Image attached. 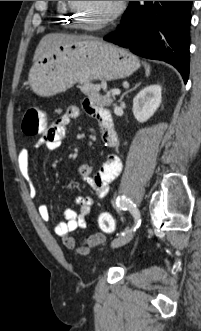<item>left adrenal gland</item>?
<instances>
[{"label":"left adrenal gland","instance_id":"obj_1","mask_svg":"<svg viewBox=\"0 0 201 331\" xmlns=\"http://www.w3.org/2000/svg\"><path fill=\"white\" fill-rule=\"evenodd\" d=\"M139 85H140V83L137 84L134 88H132V89H130V90H127L125 93H123L122 96H121V98H120V100H119V102H121V101L123 100V98H124V96H125L126 94H128L129 92H131L132 90H134L135 88H137V86H139Z\"/></svg>","mask_w":201,"mask_h":331}]
</instances>
